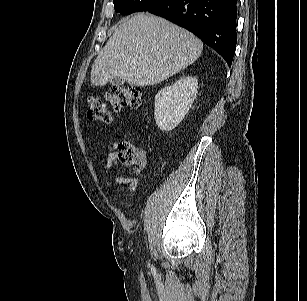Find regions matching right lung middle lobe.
<instances>
[{"mask_svg": "<svg viewBox=\"0 0 307 301\" xmlns=\"http://www.w3.org/2000/svg\"><path fill=\"white\" fill-rule=\"evenodd\" d=\"M157 0H113L115 11L122 15H129L142 11Z\"/></svg>", "mask_w": 307, "mask_h": 301, "instance_id": "right-lung-middle-lobe-1", "label": "right lung middle lobe"}]
</instances>
